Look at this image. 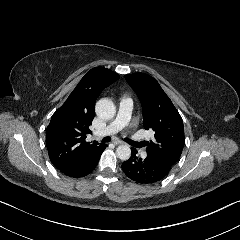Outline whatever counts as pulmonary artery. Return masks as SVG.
I'll use <instances>...</instances> for the list:
<instances>
[{"mask_svg": "<svg viewBox=\"0 0 240 240\" xmlns=\"http://www.w3.org/2000/svg\"><path fill=\"white\" fill-rule=\"evenodd\" d=\"M132 109V99L128 97H122L117 118L110 125H108L105 130L102 132H97L96 136L113 134L120 130L124 125L128 126L130 124L129 118L131 116ZM143 155H145V152Z\"/></svg>", "mask_w": 240, "mask_h": 240, "instance_id": "obj_1", "label": "pulmonary artery"}]
</instances>
